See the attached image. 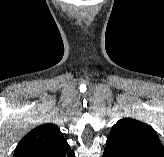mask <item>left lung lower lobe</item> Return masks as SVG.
Returning <instances> with one entry per match:
<instances>
[{
    "label": "left lung lower lobe",
    "instance_id": "0a47b994",
    "mask_svg": "<svg viewBox=\"0 0 164 157\" xmlns=\"http://www.w3.org/2000/svg\"><path fill=\"white\" fill-rule=\"evenodd\" d=\"M102 157H144L142 154L127 148L126 146L114 142L110 139L106 141V148Z\"/></svg>",
    "mask_w": 164,
    "mask_h": 157
}]
</instances>
